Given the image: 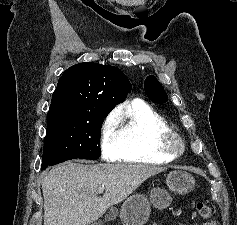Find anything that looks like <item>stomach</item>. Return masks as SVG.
I'll return each instance as SVG.
<instances>
[{
	"label": "stomach",
	"instance_id": "stomach-1",
	"mask_svg": "<svg viewBox=\"0 0 237 225\" xmlns=\"http://www.w3.org/2000/svg\"><path fill=\"white\" fill-rule=\"evenodd\" d=\"M166 184L171 192L187 194L194 188L195 181L188 172L174 170L168 174ZM149 199L158 209H164L172 202L168 191L160 187H155L150 191ZM150 211L149 200L144 195L134 194L122 204L120 218L125 225H144Z\"/></svg>",
	"mask_w": 237,
	"mask_h": 225
}]
</instances>
